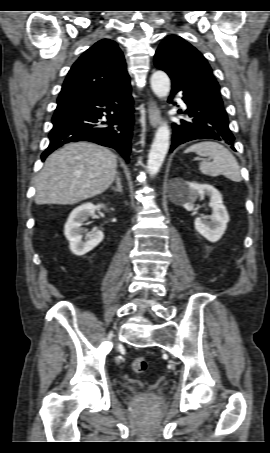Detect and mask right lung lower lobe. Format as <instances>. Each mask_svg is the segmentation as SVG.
I'll list each match as a JSON object with an SVG mask.
<instances>
[{
    "label": "right lung lower lobe",
    "mask_w": 270,
    "mask_h": 453,
    "mask_svg": "<svg viewBox=\"0 0 270 453\" xmlns=\"http://www.w3.org/2000/svg\"><path fill=\"white\" fill-rule=\"evenodd\" d=\"M133 111L130 81L98 97L58 103L42 160L66 143L90 141L114 148L128 162Z\"/></svg>",
    "instance_id": "obj_1"
}]
</instances>
